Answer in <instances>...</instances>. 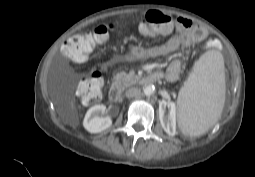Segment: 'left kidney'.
Returning <instances> with one entry per match:
<instances>
[{
    "mask_svg": "<svg viewBox=\"0 0 255 177\" xmlns=\"http://www.w3.org/2000/svg\"><path fill=\"white\" fill-rule=\"evenodd\" d=\"M169 108L168 115H165L162 107L159 109V117L161 125L166 133L169 135H175L176 133V105L173 102H167Z\"/></svg>",
    "mask_w": 255,
    "mask_h": 177,
    "instance_id": "left-kidney-1",
    "label": "left kidney"
}]
</instances>
